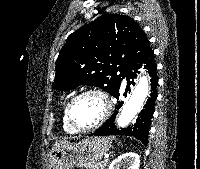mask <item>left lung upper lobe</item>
I'll list each match as a JSON object with an SVG mask.
<instances>
[{"label":"left lung upper lobe","mask_w":200,"mask_h":169,"mask_svg":"<svg viewBox=\"0 0 200 169\" xmlns=\"http://www.w3.org/2000/svg\"><path fill=\"white\" fill-rule=\"evenodd\" d=\"M149 48L144 31L131 17L102 15L68 36L56 61L52 87L99 86L113 96L127 70Z\"/></svg>","instance_id":"1"}]
</instances>
